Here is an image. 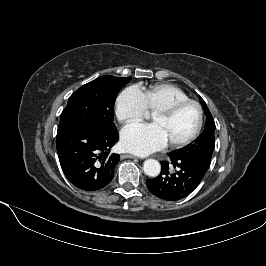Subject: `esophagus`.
Segmentation results:
<instances>
[{
  "label": "esophagus",
  "mask_w": 266,
  "mask_h": 266,
  "mask_svg": "<svg viewBox=\"0 0 266 266\" xmlns=\"http://www.w3.org/2000/svg\"><path fill=\"white\" fill-rule=\"evenodd\" d=\"M124 157H126V158H138L137 156L132 155V154H126Z\"/></svg>",
  "instance_id": "obj_1"
}]
</instances>
